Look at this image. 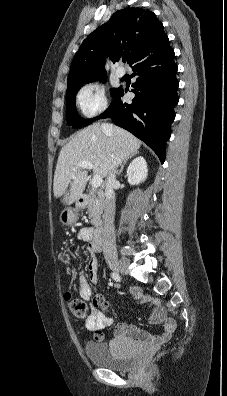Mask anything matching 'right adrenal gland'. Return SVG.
I'll return each mask as SVG.
<instances>
[{"label":"right adrenal gland","mask_w":227,"mask_h":396,"mask_svg":"<svg viewBox=\"0 0 227 396\" xmlns=\"http://www.w3.org/2000/svg\"><path fill=\"white\" fill-rule=\"evenodd\" d=\"M139 154L138 151H135L134 153H132L130 156H128L125 160H124V164L121 166V169L118 172V175H121V173L123 172V169L125 167V165L127 164L128 160L131 159L133 156Z\"/></svg>","instance_id":"2a0ac1e0"}]
</instances>
